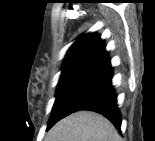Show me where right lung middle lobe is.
Segmentation results:
<instances>
[{
	"label": "right lung middle lobe",
	"instance_id": "obj_1",
	"mask_svg": "<svg viewBox=\"0 0 155 141\" xmlns=\"http://www.w3.org/2000/svg\"><path fill=\"white\" fill-rule=\"evenodd\" d=\"M94 71L75 70L62 73L56 91V100L47 129L61 119V109L75 92L94 74Z\"/></svg>",
	"mask_w": 155,
	"mask_h": 141
}]
</instances>
